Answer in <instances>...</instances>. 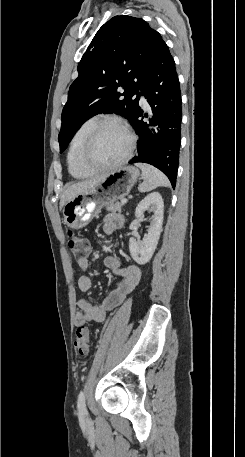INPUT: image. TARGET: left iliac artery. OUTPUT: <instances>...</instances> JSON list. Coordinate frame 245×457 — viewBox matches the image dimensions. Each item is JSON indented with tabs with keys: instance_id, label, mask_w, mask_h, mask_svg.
Masks as SVG:
<instances>
[{
	"instance_id": "1",
	"label": "left iliac artery",
	"mask_w": 245,
	"mask_h": 457,
	"mask_svg": "<svg viewBox=\"0 0 245 457\" xmlns=\"http://www.w3.org/2000/svg\"><path fill=\"white\" fill-rule=\"evenodd\" d=\"M77 407L80 413L86 414V404H85V393L84 391H80L78 395Z\"/></svg>"
}]
</instances>
